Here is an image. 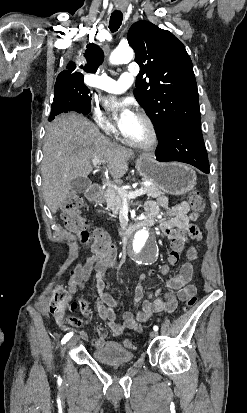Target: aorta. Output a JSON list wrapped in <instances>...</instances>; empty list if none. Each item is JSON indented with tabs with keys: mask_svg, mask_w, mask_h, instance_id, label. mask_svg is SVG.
<instances>
[{
	"mask_svg": "<svg viewBox=\"0 0 247 413\" xmlns=\"http://www.w3.org/2000/svg\"><path fill=\"white\" fill-rule=\"evenodd\" d=\"M134 52L130 47H117L110 55L109 61L111 64L119 65L128 63L132 60ZM147 237V232L144 230L140 233L139 239L141 242Z\"/></svg>",
	"mask_w": 247,
	"mask_h": 413,
	"instance_id": "1",
	"label": "aorta"
}]
</instances>
